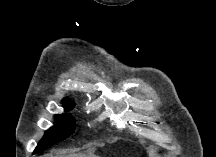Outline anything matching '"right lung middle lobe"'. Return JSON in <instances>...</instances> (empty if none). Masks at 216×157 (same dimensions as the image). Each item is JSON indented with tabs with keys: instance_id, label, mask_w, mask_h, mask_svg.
Returning <instances> with one entry per match:
<instances>
[{
	"instance_id": "obj_1",
	"label": "right lung middle lobe",
	"mask_w": 216,
	"mask_h": 157,
	"mask_svg": "<svg viewBox=\"0 0 216 157\" xmlns=\"http://www.w3.org/2000/svg\"><path fill=\"white\" fill-rule=\"evenodd\" d=\"M63 105L66 111L71 110L74 105L68 100L63 101ZM56 124L46 131L43 139L39 142L34 153L42 152L49 146H52L73 134L74 132V119L69 114L56 115Z\"/></svg>"
}]
</instances>
